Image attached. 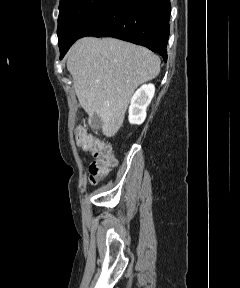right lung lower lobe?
Instances as JSON below:
<instances>
[{
    "label": "right lung lower lobe",
    "mask_w": 240,
    "mask_h": 288,
    "mask_svg": "<svg viewBox=\"0 0 240 288\" xmlns=\"http://www.w3.org/2000/svg\"><path fill=\"white\" fill-rule=\"evenodd\" d=\"M169 0H114L81 34L145 46L167 60ZM69 47L61 51V59Z\"/></svg>",
    "instance_id": "1"
}]
</instances>
